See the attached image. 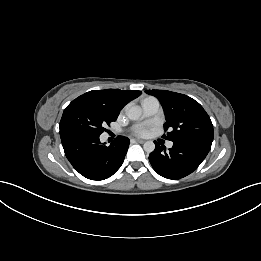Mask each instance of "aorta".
Listing matches in <instances>:
<instances>
[{"label": "aorta", "instance_id": "obj_1", "mask_svg": "<svg viewBox=\"0 0 261 261\" xmlns=\"http://www.w3.org/2000/svg\"><path fill=\"white\" fill-rule=\"evenodd\" d=\"M126 115L131 120H138L142 115V109H141L140 106H137V105L131 106V107L127 108ZM143 149L147 153L153 152L155 150L154 142L153 141L145 142L144 145H143Z\"/></svg>", "mask_w": 261, "mask_h": 261}]
</instances>
